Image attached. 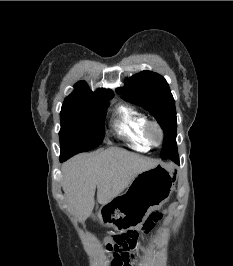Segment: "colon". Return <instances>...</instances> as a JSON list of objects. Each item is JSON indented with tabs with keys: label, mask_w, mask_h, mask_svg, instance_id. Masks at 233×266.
<instances>
[{
	"label": "colon",
	"mask_w": 233,
	"mask_h": 266,
	"mask_svg": "<svg viewBox=\"0 0 233 266\" xmlns=\"http://www.w3.org/2000/svg\"><path fill=\"white\" fill-rule=\"evenodd\" d=\"M163 215L159 211L152 212L143 223V230L150 232L155 225L161 221ZM138 232L133 229L132 232L115 233L107 243V250L113 254L111 266L121 264L120 266H131L134 260V249L136 247Z\"/></svg>",
	"instance_id": "obj_1"
}]
</instances>
